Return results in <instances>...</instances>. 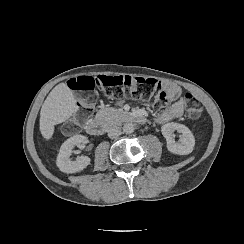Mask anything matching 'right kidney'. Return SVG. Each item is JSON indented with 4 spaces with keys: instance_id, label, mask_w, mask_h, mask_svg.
<instances>
[{
    "instance_id": "obj_1",
    "label": "right kidney",
    "mask_w": 244,
    "mask_h": 244,
    "mask_svg": "<svg viewBox=\"0 0 244 244\" xmlns=\"http://www.w3.org/2000/svg\"><path fill=\"white\" fill-rule=\"evenodd\" d=\"M87 137L83 135H75L67 139L60 148L57 156L56 164L60 171L64 173H75L83 170L90 164V158L88 156L77 157L75 161L70 159L72 149L74 146H78L81 143H87Z\"/></svg>"
}]
</instances>
